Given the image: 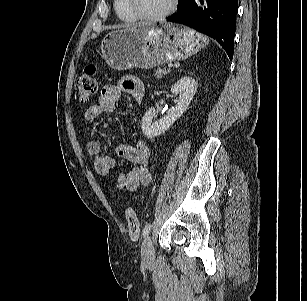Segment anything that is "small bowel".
I'll list each match as a JSON object with an SVG mask.
<instances>
[{"instance_id": "c3829d8e", "label": "small bowel", "mask_w": 307, "mask_h": 301, "mask_svg": "<svg viewBox=\"0 0 307 301\" xmlns=\"http://www.w3.org/2000/svg\"><path fill=\"white\" fill-rule=\"evenodd\" d=\"M123 94L129 95L139 102L144 94L142 81L137 77L127 76L118 85H105L101 90L98 102L85 111V120L92 122L103 113L115 111L116 105ZM87 151L92 157L94 171L102 177H107L114 169L116 158H122L134 163L133 167L118 174L116 185L120 190L134 191L140 186L148 185L151 181V174L148 168L151 149L142 140H138L134 145H119L116 149L115 157L103 154L101 144L96 140L88 142Z\"/></svg>"}]
</instances>
